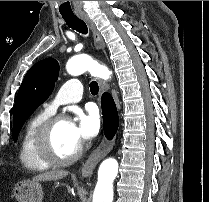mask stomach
<instances>
[{
	"mask_svg": "<svg viewBox=\"0 0 209 202\" xmlns=\"http://www.w3.org/2000/svg\"><path fill=\"white\" fill-rule=\"evenodd\" d=\"M13 196L17 202H42V186L36 181H19L13 188Z\"/></svg>",
	"mask_w": 209,
	"mask_h": 202,
	"instance_id": "stomach-1",
	"label": "stomach"
}]
</instances>
